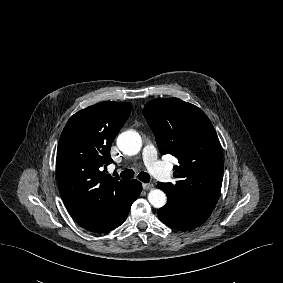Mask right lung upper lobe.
Returning a JSON list of instances; mask_svg holds the SVG:
<instances>
[{"mask_svg":"<svg viewBox=\"0 0 283 283\" xmlns=\"http://www.w3.org/2000/svg\"><path fill=\"white\" fill-rule=\"evenodd\" d=\"M129 102H102L75 113L64 127L57 150V176L66 208L85 229L111 216L130 194L132 181L105 174L110 148L128 119Z\"/></svg>","mask_w":283,"mask_h":283,"instance_id":"cb5924a9","label":"right lung upper lobe"}]
</instances>
